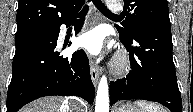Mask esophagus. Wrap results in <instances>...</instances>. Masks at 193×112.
I'll use <instances>...</instances> for the list:
<instances>
[{
    "instance_id": "obj_1",
    "label": "esophagus",
    "mask_w": 193,
    "mask_h": 112,
    "mask_svg": "<svg viewBox=\"0 0 193 112\" xmlns=\"http://www.w3.org/2000/svg\"><path fill=\"white\" fill-rule=\"evenodd\" d=\"M92 11H95V7L92 5ZM90 73L94 86L97 85L99 79V68L93 60L90 61Z\"/></svg>"
}]
</instances>
